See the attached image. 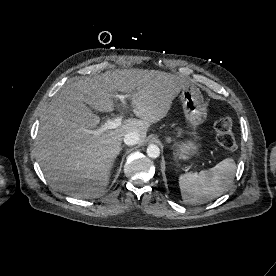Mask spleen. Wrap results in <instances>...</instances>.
Instances as JSON below:
<instances>
[{
	"mask_svg": "<svg viewBox=\"0 0 276 276\" xmlns=\"http://www.w3.org/2000/svg\"><path fill=\"white\" fill-rule=\"evenodd\" d=\"M236 163L226 158L209 170L179 176L181 196L185 203L202 204L226 192L234 179Z\"/></svg>",
	"mask_w": 276,
	"mask_h": 276,
	"instance_id": "spleen-1",
	"label": "spleen"
}]
</instances>
